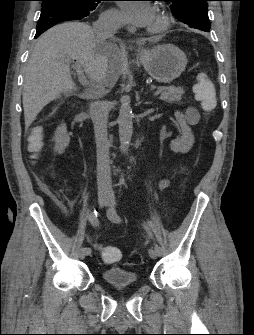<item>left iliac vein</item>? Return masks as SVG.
Wrapping results in <instances>:
<instances>
[{
    "mask_svg": "<svg viewBox=\"0 0 254 335\" xmlns=\"http://www.w3.org/2000/svg\"><path fill=\"white\" fill-rule=\"evenodd\" d=\"M109 206H110V209H114L115 202H114V201H111V202L109 203ZM108 217L110 218L109 215H108ZM110 219H111V218H110ZM148 254H149L150 258H152V259H156L157 256H158V254L156 253V251H155L153 248H150V249L148 250Z\"/></svg>",
    "mask_w": 254,
    "mask_h": 335,
    "instance_id": "obj_1",
    "label": "left iliac vein"
}]
</instances>
